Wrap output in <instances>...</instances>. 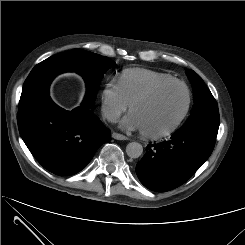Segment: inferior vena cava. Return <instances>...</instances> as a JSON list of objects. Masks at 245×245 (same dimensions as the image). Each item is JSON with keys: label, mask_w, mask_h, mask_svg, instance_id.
Segmentation results:
<instances>
[{"label": "inferior vena cava", "mask_w": 245, "mask_h": 245, "mask_svg": "<svg viewBox=\"0 0 245 245\" xmlns=\"http://www.w3.org/2000/svg\"><path fill=\"white\" fill-rule=\"evenodd\" d=\"M105 117L109 121L114 122L118 119L119 115H118V113H115V112H107V113H105Z\"/></svg>", "instance_id": "inferior-vena-cava-1"}]
</instances>
